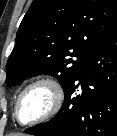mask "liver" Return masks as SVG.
Here are the masks:
<instances>
[{
	"label": "liver",
	"instance_id": "6515ba94",
	"mask_svg": "<svg viewBox=\"0 0 117 136\" xmlns=\"http://www.w3.org/2000/svg\"><path fill=\"white\" fill-rule=\"evenodd\" d=\"M12 136H22L21 134H17V135H12Z\"/></svg>",
	"mask_w": 117,
	"mask_h": 136
}]
</instances>
